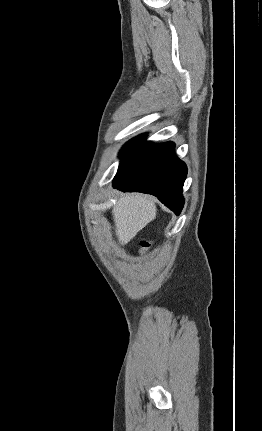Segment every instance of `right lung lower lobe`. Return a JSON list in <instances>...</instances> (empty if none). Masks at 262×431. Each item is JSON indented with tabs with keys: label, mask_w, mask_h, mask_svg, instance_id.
<instances>
[{
	"label": "right lung lower lobe",
	"mask_w": 262,
	"mask_h": 431,
	"mask_svg": "<svg viewBox=\"0 0 262 431\" xmlns=\"http://www.w3.org/2000/svg\"><path fill=\"white\" fill-rule=\"evenodd\" d=\"M175 144H154L140 135L121 150V162L113 179V187L124 192H143L157 198L177 215L184 199L182 188L187 175L184 162L174 153Z\"/></svg>",
	"instance_id": "1"
}]
</instances>
